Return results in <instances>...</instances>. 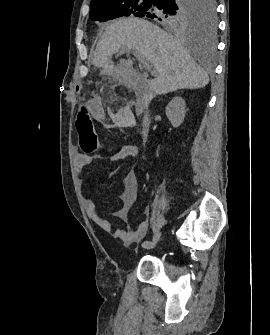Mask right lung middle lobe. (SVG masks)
<instances>
[{"label":"right lung middle lobe","instance_id":"dd1d6c3e","mask_svg":"<svg viewBox=\"0 0 270 335\" xmlns=\"http://www.w3.org/2000/svg\"><path fill=\"white\" fill-rule=\"evenodd\" d=\"M130 15L148 17L172 29L204 24L212 31L216 26L214 0H110L91 7L89 18L105 22Z\"/></svg>","mask_w":270,"mask_h":335}]
</instances>
